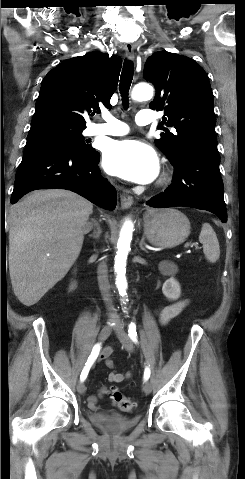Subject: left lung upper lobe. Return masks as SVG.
I'll return each instance as SVG.
<instances>
[{
    "instance_id": "1",
    "label": "left lung upper lobe",
    "mask_w": 245,
    "mask_h": 479,
    "mask_svg": "<svg viewBox=\"0 0 245 479\" xmlns=\"http://www.w3.org/2000/svg\"><path fill=\"white\" fill-rule=\"evenodd\" d=\"M144 78L156 88L151 109L164 111L165 129L156 146L172 164L199 148H217L214 101L208 77L193 59L159 51L147 59Z\"/></svg>"
}]
</instances>
